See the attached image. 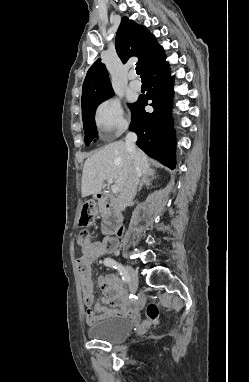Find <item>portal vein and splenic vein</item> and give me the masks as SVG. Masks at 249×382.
Here are the masks:
<instances>
[{
  "label": "portal vein and splenic vein",
  "mask_w": 249,
  "mask_h": 382,
  "mask_svg": "<svg viewBox=\"0 0 249 382\" xmlns=\"http://www.w3.org/2000/svg\"><path fill=\"white\" fill-rule=\"evenodd\" d=\"M110 183H112V181H109ZM111 190L113 193H118L119 192V187L117 185H111Z\"/></svg>",
  "instance_id": "1"
}]
</instances>
